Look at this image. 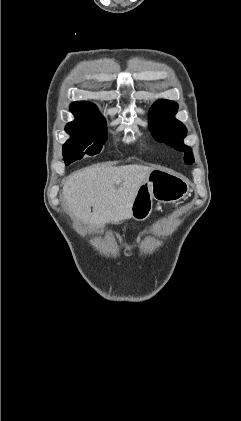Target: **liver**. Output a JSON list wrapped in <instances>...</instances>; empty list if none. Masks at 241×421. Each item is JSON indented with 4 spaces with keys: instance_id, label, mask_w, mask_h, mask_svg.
<instances>
[{
    "instance_id": "liver-1",
    "label": "liver",
    "mask_w": 241,
    "mask_h": 421,
    "mask_svg": "<svg viewBox=\"0 0 241 421\" xmlns=\"http://www.w3.org/2000/svg\"><path fill=\"white\" fill-rule=\"evenodd\" d=\"M151 171L139 164L86 168L68 177L63 200L71 214L84 223H119L131 217L133 199Z\"/></svg>"
}]
</instances>
